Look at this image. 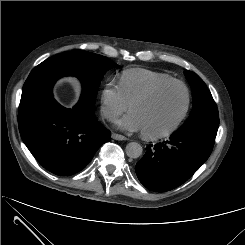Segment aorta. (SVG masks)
Instances as JSON below:
<instances>
[{
    "mask_svg": "<svg viewBox=\"0 0 245 245\" xmlns=\"http://www.w3.org/2000/svg\"><path fill=\"white\" fill-rule=\"evenodd\" d=\"M125 151L128 157L135 159L141 156L143 148L137 142H130L126 145Z\"/></svg>",
    "mask_w": 245,
    "mask_h": 245,
    "instance_id": "1",
    "label": "aorta"
}]
</instances>
